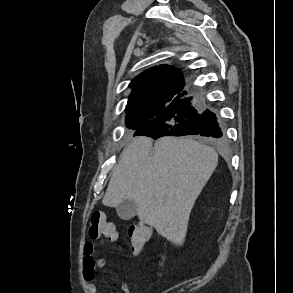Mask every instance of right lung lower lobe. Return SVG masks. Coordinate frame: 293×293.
Segmentation results:
<instances>
[{"label":"right lung lower lobe","mask_w":293,"mask_h":293,"mask_svg":"<svg viewBox=\"0 0 293 293\" xmlns=\"http://www.w3.org/2000/svg\"><path fill=\"white\" fill-rule=\"evenodd\" d=\"M134 135H147L154 139L162 136L200 135L219 139L223 131L216 115L203 110L199 101L184 91L157 117L139 127Z\"/></svg>","instance_id":"98d812e1"}]
</instances>
